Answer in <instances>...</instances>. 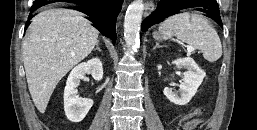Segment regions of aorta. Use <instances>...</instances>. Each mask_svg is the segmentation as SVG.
Listing matches in <instances>:
<instances>
[{"label":"aorta","instance_id":"aorta-1","mask_svg":"<svg viewBox=\"0 0 257 130\" xmlns=\"http://www.w3.org/2000/svg\"><path fill=\"white\" fill-rule=\"evenodd\" d=\"M144 10L142 0H134L128 7L124 20V37L127 47L136 51L139 46V31Z\"/></svg>","mask_w":257,"mask_h":130}]
</instances>
